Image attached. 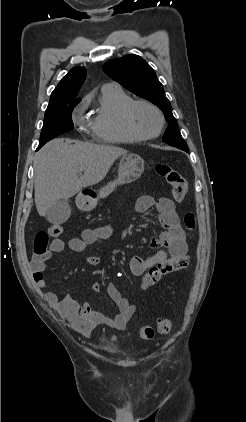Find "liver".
<instances>
[{"label": "liver", "mask_w": 246, "mask_h": 422, "mask_svg": "<svg viewBox=\"0 0 246 422\" xmlns=\"http://www.w3.org/2000/svg\"><path fill=\"white\" fill-rule=\"evenodd\" d=\"M125 149L67 139H54L36 154L35 205L40 216L60 199L102 181ZM84 173L78 177L80 170Z\"/></svg>", "instance_id": "liver-1"}]
</instances>
